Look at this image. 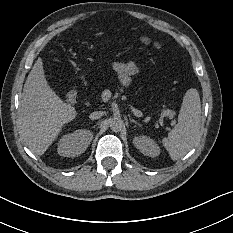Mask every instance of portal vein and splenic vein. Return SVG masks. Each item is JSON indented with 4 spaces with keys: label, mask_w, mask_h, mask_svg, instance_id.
<instances>
[{
    "label": "portal vein and splenic vein",
    "mask_w": 233,
    "mask_h": 233,
    "mask_svg": "<svg viewBox=\"0 0 233 233\" xmlns=\"http://www.w3.org/2000/svg\"><path fill=\"white\" fill-rule=\"evenodd\" d=\"M134 114L137 116V117H144V113H142L141 111H139V110H134ZM172 125L173 124H176L177 123V121L174 119V120H172Z\"/></svg>",
    "instance_id": "obj_1"
}]
</instances>
